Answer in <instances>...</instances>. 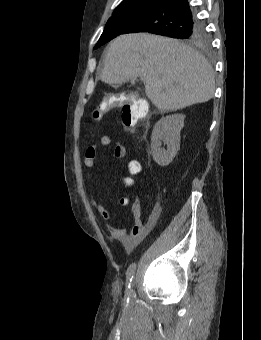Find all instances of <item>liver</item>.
<instances>
[{"instance_id":"6515ba94","label":"liver","mask_w":261,"mask_h":340,"mask_svg":"<svg viewBox=\"0 0 261 340\" xmlns=\"http://www.w3.org/2000/svg\"><path fill=\"white\" fill-rule=\"evenodd\" d=\"M145 82V92L160 112L209 101L215 91L214 72L196 50L178 40L149 33L120 35L109 45L101 81Z\"/></svg>"}]
</instances>
